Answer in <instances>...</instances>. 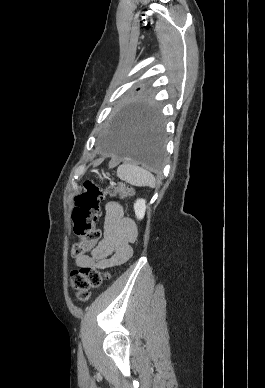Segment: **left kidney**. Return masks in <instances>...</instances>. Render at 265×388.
I'll return each instance as SVG.
<instances>
[{
  "label": "left kidney",
  "mask_w": 265,
  "mask_h": 388,
  "mask_svg": "<svg viewBox=\"0 0 265 388\" xmlns=\"http://www.w3.org/2000/svg\"><path fill=\"white\" fill-rule=\"evenodd\" d=\"M134 210H135L136 218H138V220H143L145 216V210H146L145 200H137L136 204H134Z\"/></svg>",
  "instance_id": "obj_1"
}]
</instances>
